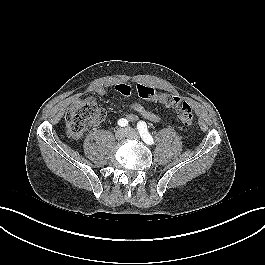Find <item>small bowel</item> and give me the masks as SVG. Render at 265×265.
<instances>
[{
  "label": "small bowel",
  "instance_id": "small-bowel-1",
  "mask_svg": "<svg viewBox=\"0 0 265 265\" xmlns=\"http://www.w3.org/2000/svg\"><path fill=\"white\" fill-rule=\"evenodd\" d=\"M116 90L124 95V96H128L130 94V87L126 84H118L116 86ZM96 93L99 95V96H105L106 95V90L104 88H98L96 90ZM169 93H164L163 95H167ZM88 101H91V102H95L96 99L93 98V97H90L88 99ZM161 104L165 105V106H168L166 105L162 100H158ZM168 107H171V106H168ZM132 113L128 115V119L132 122H135L138 120L139 116L151 121V122H154V123H157L160 121V116L150 110H148L143 104L141 103H133L132 106Z\"/></svg>",
  "mask_w": 265,
  "mask_h": 265
}]
</instances>
